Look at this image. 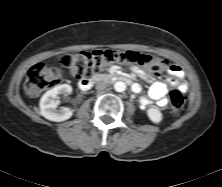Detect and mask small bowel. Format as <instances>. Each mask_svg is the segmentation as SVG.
<instances>
[{
    "mask_svg": "<svg viewBox=\"0 0 222 187\" xmlns=\"http://www.w3.org/2000/svg\"><path fill=\"white\" fill-rule=\"evenodd\" d=\"M137 75L145 80L151 81V86L148 90V94L146 97H143L140 100L141 106L146 108L150 106L152 102H156L158 106L164 107L167 104V84L161 81H153L150 77H148L142 70L134 69ZM169 72L172 76L182 78L184 76V72L182 68L178 65H171L169 67ZM174 86H178L182 90H187L188 86L185 82H178L174 80H170ZM137 89V88H136Z\"/></svg>",
    "mask_w": 222,
    "mask_h": 187,
    "instance_id": "c3829d8e",
    "label": "small bowel"
}]
</instances>
